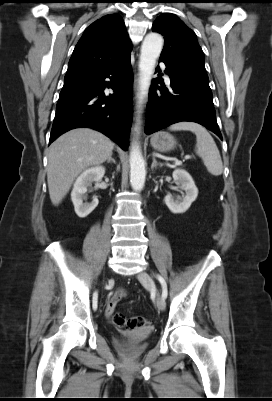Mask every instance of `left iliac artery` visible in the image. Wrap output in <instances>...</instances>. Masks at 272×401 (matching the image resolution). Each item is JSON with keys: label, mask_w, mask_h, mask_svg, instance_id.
<instances>
[{"label": "left iliac artery", "mask_w": 272, "mask_h": 401, "mask_svg": "<svg viewBox=\"0 0 272 401\" xmlns=\"http://www.w3.org/2000/svg\"><path fill=\"white\" fill-rule=\"evenodd\" d=\"M157 278H158V280H159V282H160V284H161V286H162V298L165 300L166 297H167V295H168V290H167L166 281H165V279H164L162 276H160V275H157Z\"/></svg>", "instance_id": "left-iliac-artery-1"}]
</instances>
